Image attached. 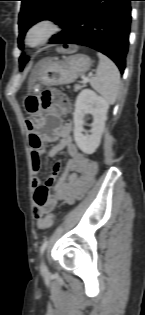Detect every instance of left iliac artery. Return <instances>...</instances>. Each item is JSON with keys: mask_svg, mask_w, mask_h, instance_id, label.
<instances>
[{"mask_svg": "<svg viewBox=\"0 0 145 315\" xmlns=\"http://www.w3.org/2000/svg\"><path fill=\"white\" fill-rule=\"evenodd\" d=\"M47 245H48V240H45L40 247V255L44 253L45 249L47 248Z\"/></svg>", "mask_w": 145, "mask_h": 315, "instance_id": "1", "label": "left iliac artery"}]
</instances>
